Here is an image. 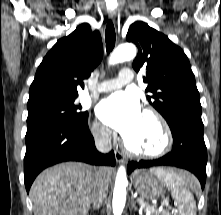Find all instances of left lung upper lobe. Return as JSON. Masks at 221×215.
Returning a JSON list of instances; mask_svg holds the SVG:
<instances>
[{
    "label": "left lung upper lobe",
    "instance_id": "obj_1",
    "mask_svg": "<svg viewBox=\"0 0 221 215\" xmlns=\"http://www.w3.org/2000/svg\"><path fill=\"white\" fill-rule=\"evenodd\" d=\"M126 40L138 47L133 68L136 72L146 70L143 81L151 93L147 99L167 123L178 110L201 115L199 92L184 51L141 21L130 26Z\"/></svg>",
    "mask_w": 221,
    "mask_h": 215
}]
</instances>
